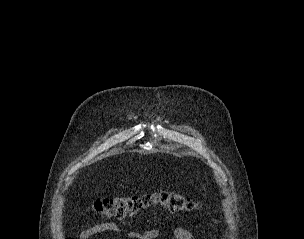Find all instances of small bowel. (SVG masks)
Wrapping results in <instances>:
<instances>
[{
    "mask_svg": "<svg viewBox=\"0 0 304 239\" xmlns=\"http://www.w3.org/2000/svg\"><path fill=\"white\" fill-rule=\"evenodd\" d=\"M114 232L118 233L120 231L117 224L113 222H106V223H100L96 224L94 226H91L85 230H83L79 236L78 239H89L93 237L94 235H97L102 232ZM161 232L158 229H150L145 231L144 233H138V232H130L128 233V237L131 239H155L160 237ZM172 239H194L193 234L190 230L186 228H176L171 233ZM67 239H73V238H67Z\"/></svg>",
    "mask_w": 304,
    "mask_h": 239,
    "instance_id": "c3829d8e",
    "label": "small bowel"
}]
</instances>
